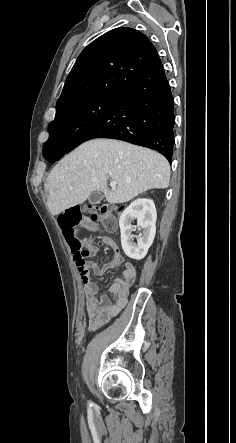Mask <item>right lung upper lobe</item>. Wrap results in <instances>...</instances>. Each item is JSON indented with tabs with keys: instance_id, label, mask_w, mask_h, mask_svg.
Listing matches in <instances>:
<instances>
[{
	"instance_id": "right-lung-upper-lobe-1",
	"label": "right lung upper lobe",
	"mask_w": 236,
	"mask_h": 443,
	"mask_svg": "<svg viewBox=\"0 0 236 443\" xmlns=\"http://www.w3.org/2000/svg\"><path fill=\"white\" fill-rule=\"evenodd\" d=\"M159 59L142 33L121 27L90 43L77 58L56 105L59 113L98 94L125 91Z\"/></svg>"
}]
</instances>
